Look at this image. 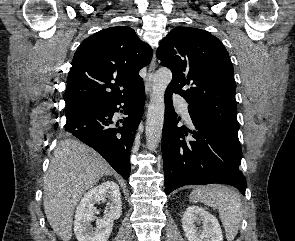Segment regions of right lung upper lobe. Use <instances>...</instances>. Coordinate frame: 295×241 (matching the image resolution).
<instances>
[{
  "instance_id": "right-lung-upper-lobe-1",
  "label": "right lung upper lobe",
  "mask_w": 295,
  "mask_h": 241,
  "mask_svg": "<svg viewBox=\"0 0 295 241\" xmlns=\"http://www.w3.org/2000/svg\"><path fill=\"white\" fill-rule=\"evenodd\" d=\"M151 58L152 49L127 26L110 27L85 39L67 78L66 117L132 93L143 85L138 73Z\"/></svg>"
}]
</instances>
